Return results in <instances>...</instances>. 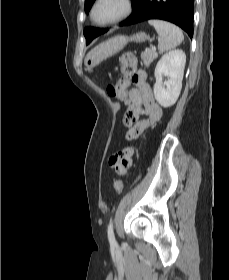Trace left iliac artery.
<instances>
[{"instance_id":"obj_1","label":"left iliac artery","mask_w":229,"mask_h":280,"mask_svg":"<svg viewBox=\"0 0 229 280\" xmlns=\"http://www.w3.org/2000/svg\"><path fill=\"white\" fill-rule=\"evenodd\" d=\"M108 239L111 245H116V240L113 232V222L112 220L110 221L108 225Z\"/></svg>"}]
</instances>
